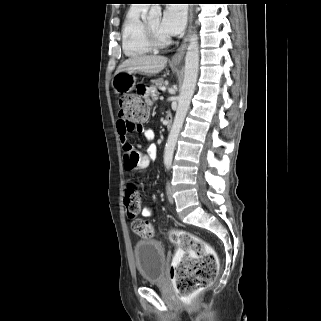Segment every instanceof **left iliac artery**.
Listing matches in <instances>:
<instances>
[{"label":"left iliac artery","mask_w":321,"mask_h":321,"mask_svg":"<svg viewBox=\"0 0 321 321\" xmlns=\"http://www.w3.org/2000/svg\"><path fill=\"white\" fill-rule=\"evenodd\" d=\"M170 166H171V164H170V163H168V164H167V169H169V168H170Z\"/></svg>","instance_id":"obj_1"}]
</instances>
